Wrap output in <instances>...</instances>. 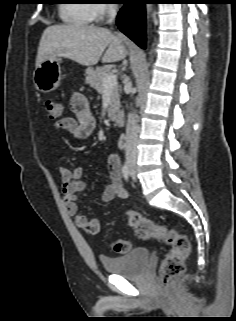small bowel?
Wrapping results in <instances>:
<instances>
[{"label": "small bowel", "mask_w": 236, "mask_h": 321, "mask_svg": "<svg viewBox=\"0 0 236 321\" xmlns=\"http://www.w3.org/2000/svg\"><path fill=\"white\" fill-rule=\"evenodd\" d=\"M73 116L58 120L54 127L64 130L79 140L89 138L96 127L95 119L89 109V102L85 95L74 94L70 100ZM109 171V183L101 194L105 202L114 198L125 199L127 192L122 185V170L120 158L116 154H110L107 159ZM59 173L62 181L63 202L68 214L73 216L75 224L89 234H96L100 230V221L96 218H88L80 212L77 204L78 193L85 189V183L81 180L83 169H74L60 166Z\"/></svg>", "instance_id": "obj_1"}]
</instances>
